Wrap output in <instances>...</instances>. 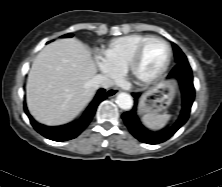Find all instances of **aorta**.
<instances>
[{
    "label": "aorta",
    "mask_w": 222,
    "mask_h": 187,
    "mask_svg": "<svg viewBox=\"0 0 222 187\" xmlns=\"http://www.w3.org/2000/svg\"><path fill=\"white\" fill-rule=\"evenodd\" d=\"M116 103L121 109L129 110L133 105V99L128 93H120L116 98Z\"/></svg>",
    "instance_id": "obj_1"
}]
</instances>
